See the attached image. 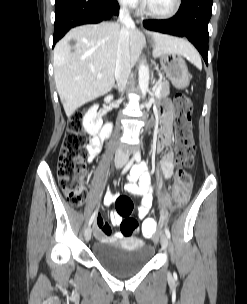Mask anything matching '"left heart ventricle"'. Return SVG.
<instances>
[{"instance_id": "obj_1", "label": "left heart ventricle", "mask_w": 247, "mask_h": 304, "mask_svg": "<svg viewBox=\"0 0 247 304\" xmlns=\"http://www.w3.org/2000/svg\"><path fill=\"white\" fill-rule=\"evenodd\" d=\"M148 6L156 13H167L174 6V0H148Z\"/></svg>"}]
</instances>
